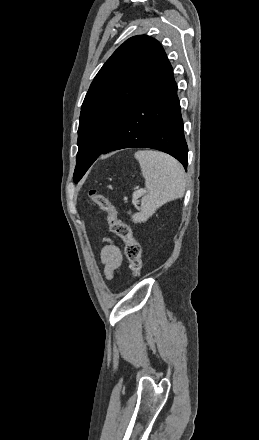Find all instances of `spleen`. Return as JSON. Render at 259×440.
Returning <instances> with one entry per match:
<instances>
[{
  "mask_svg": "<svg viewBox=\"0 0 259 440\" xmlns=\"http://www.w3.org/2000/svg\"><path fill=\"white\" fill-rule=\"evenodd\" d=\"M135 158L140 164L148 192L141 199L140 212L132 217L133 222L141 223L165 203L183 197L186 183L182 165L165 153L142 150L135 153Z\"/></svg>",
  "mask_w": 259,
  "mask_h": 440,
  "instance_id": "1",
  "label": "spleen"
}]
</instances>
